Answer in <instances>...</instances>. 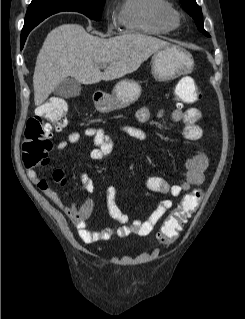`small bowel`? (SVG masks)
<instances>
[{
    "label": "small bowel",
    "instance_id": "1",
    "mask_svg": "<svg viewBox=\"0 0 245 319\" xmlns=\"http://www.w3.org/2000/svg\"><path fill=\"white\" fill-rule=\"evenodd\" d=\"M194 82L190 77H183L179 80L177 87L192 88ZM171 117L175 122L183 123L182 135L190 141L200 140L204 136L203 129L198 125L202 114L198 108L190 107L182 109L176 108ZM151 118V110L149 107H142L136 113V119L139 123H147ZM120 131L128 137L147 143L148 135L144 130L134 126H122ZM83 134L93 139L94 146L88 152V158L93 161H100L107 157L113 150V142L111 137L102 129L95 127H87ZM81 138L79 132H70L66 140L57 143L59 151H65L70 144L76 143ZM208 167V156L204 151H199L195 155H190L185 159L184 179L179 184L170 185L165 179L158 176H152L146 179L145 186L147 190L155 193L169 194L177 197L184 192L189 191L194 186L200 185L204 180V173ZM28 175L34 183L40 182L34 170H28ZM79 179L82 189L91 194L95 188L94 179L86 173H80ZM44 193L57 205L66 216L70 218L75 226L80 239L87 244L107 241L113 233L119 237H127L131 234L149 235L154 230L158 221L170 210L173 202L170 199L162 200L156 209L150 214L146 220H130L124 214L116 202V188L113 185L106 187V204L109 215L118 222V226L114 229H102L92 231L89 229L87 221L92 216L94 205L90 197H86L81 205L72 204L67 206L59 198L53 189H43Z\"/></svg>",
    "mask_w": 245,
    "mask_h": 319
}]
</instances>
